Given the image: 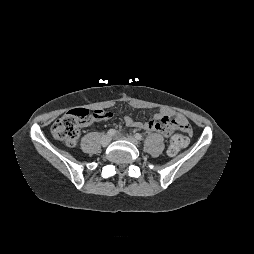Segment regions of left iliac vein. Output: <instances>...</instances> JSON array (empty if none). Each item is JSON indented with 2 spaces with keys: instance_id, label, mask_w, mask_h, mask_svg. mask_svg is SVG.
Returning <instances> with one entry per match:
<instances>
[{
  "instance_id": "obj_1",
  "label": "left iliac vein",
  "mask_w": 254,
  "mask_h": 254,
  "mask_svg": "<svg viewBox=\"0 0 254 254\" xmlns=\"http://www.w3.org/2000/svg\"><path fill=\"white\" fill-rule=\"evenodd\" d=\"M117 137H120V135H117ZM124 139L128 140L129 142L133 143L134 145H138V141L133 136H126L123 137Z\"/></svg>"
}]
</instances>
